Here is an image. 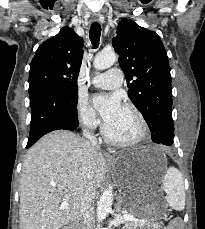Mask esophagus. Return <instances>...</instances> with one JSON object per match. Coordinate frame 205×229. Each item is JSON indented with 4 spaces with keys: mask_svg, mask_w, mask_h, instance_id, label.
Masks as SVG:
<instances>
[{
    "mask_svg": "<svg viewBox=\"0 0 205 229\" xmlns=\"http://www.w3.org/2000/svg\"><path fill=\"white\" fill-rule=\"evenodd\" d=\"M91 19H92L93 22H98L99 21V17L97 15H93ZM113 153H114V150L108 149L107 157L108 158H112L113 157Z\"/></svg>",
    "mask_w": 205,
    "mask_h": 229,
    "instance_id": "1",
    "label": "esophagus"
}]
</instances>
